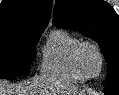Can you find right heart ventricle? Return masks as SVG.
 Listing matches in <instances>:
<instances>
[{
  "mask_svg": "<svg viewBox=\"0 0 119 95\" xmlns=\"http://www.w3.org/2000/svg\"><path fill=\"white\" fill-rule=\"evenodd\" d=\"M81 39L64 29L51 31L43 49L40 71L43 75L67 80L84 82L85 78L73 63V52Z\"/></svg>",
  "mask_w": 119,
  "mask_h": 95,
  "instance_id": "1",
  "label": "right heart ventricle"
}]
</instances>
